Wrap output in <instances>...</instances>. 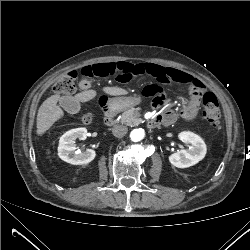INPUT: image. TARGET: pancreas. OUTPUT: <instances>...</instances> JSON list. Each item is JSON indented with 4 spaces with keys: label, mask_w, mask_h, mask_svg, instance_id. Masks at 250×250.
<instances>
[{
    "label": "pancreas",
    "mask_w": 250,
    "mask_h": 250,
    "mask_svg": "<svg viewBox=\"0 0 250 250\" xmlns=\"http://www.w3.org/2000/svg\"><path fill=\"white\" fill-rule=\"evenodd\" d=\"M140 108H131L126 110L121 116V123L126 124L128 126L138 125L140 120Z\"/></svg>",
    "instance_id": "pancreas-1"
}]
</instances>
